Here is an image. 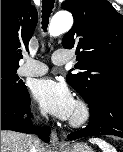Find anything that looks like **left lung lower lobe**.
<instances>
[{
    "instance_id": "1",
    "label": "left lung lower lobe",
    "mask_w": 123,
    "mask_h": 152,
    "mask_svg": "<svg viewBox=\"0 0 123 152\" xmlns=\"http://www.w3.org/2000/svg\"><path fill=\"white\" fill-rule=\"evenodd\" d=\"M90 122L86 128L67 135L75 140L92 135H115L123 138V91L111 90L89 104Z\"/></svg>"
}]
</instances>
